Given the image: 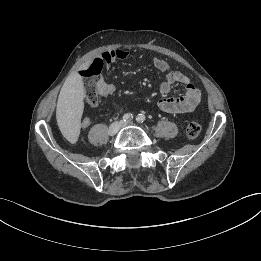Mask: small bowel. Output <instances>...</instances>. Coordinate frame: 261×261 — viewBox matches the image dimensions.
Wrapping results in <instances>:
<instances>
[{
	"label": "small bowel",
	"instance_id": "c3829d8e",
	"mask_svg": "<svg viewBox=\"0 0 261 261\" xmlns=\"http://www.w3.org/2000/svg\"><path fill=\"white\" fill-rule=\"evenodd\" d=\"M129 56V52L125 49H113L105 51L97 59L104 63L108 68L117 60H125ZM153 66L164 74V80L160 84V92L163 97L158 101L159 109L168 113H186L192 111L199 103L201 93L199 89L191 82L188 76L179 71L171 70L168 63L160 57H154ZM176 83L184 85V93L180 96H169L172 86ZM115 88L112 84L102 81L101 96H109L114 92ZM91 121L84 118L81 122L83 129L89 127Z\"/></svg>",
	"mask_w": 261,
	"mask_h": 261
}]
</instances>
